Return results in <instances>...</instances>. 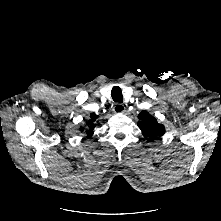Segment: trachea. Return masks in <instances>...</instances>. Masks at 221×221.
<instances>
[{
  "instance_id": "1",
  "label": "trachea",
  "mask_w": 221,
  "mask_h": 221,
  "mask_svg": "<svg viewBox=\"0 0 221 221\" xmlns=\"http://www.w3.org/2000/svg\"><path fill=\"white\" fill-rule=\"evenodd\" d=\"M111 96H112L113 101L118 102V103L123 102V94H122V90L120 87L118 86L113 87L111 91Z\"/></svg>"
}]
</instances>
